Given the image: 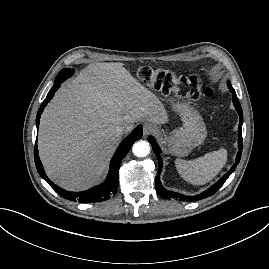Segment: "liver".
Masks as SVG:
<instances>
[{
	"instance_id": "obj_1",
	"label": "liver",
	"mask_w": 269,
	"mask_h": 269,
	"mask_svg": "<svg viewBox=\"0 0 269 269\" xmlns=\"http://www.w3.org/2000/svg\"><path fill=\"white\" fill-rule=\"evenodd\" d=\"M146 119L163 124L159 99L123 67L88 65L59 89L45 108L38 132L39 155L47 175L68 190L94 184L119 143L116 127Z\"/></svg>"
}]
</instances>
